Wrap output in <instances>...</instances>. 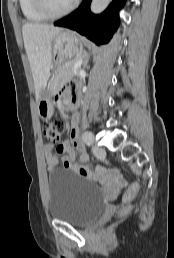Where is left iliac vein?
Wrapping results in <instances>:
<instances>
[{"label":"left iliac vein","mask_w":174,"mask_h":258,"mask_svg":"<svg viewBox=\"0 0 174 258\" xmlns=\"http://www.w3.org/2000/svg\"><path fill=\"white\" fill-rule=\"evenodd\" d=\"M93 153L98 158H103L106 154L104 148L97 146L93 147Z\"/></svg>","instance_id":"1"}]
</instances>
